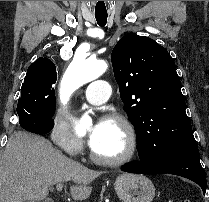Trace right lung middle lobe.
<instances>
[{
	"label": "right lung middle lobe",
	"instance_id": "obj_1",
	"mask_svg": "<svg viewBox=\"0 0 209 202\" xmlns=\"http://www.w3.org/2000/svg\"><path fill=\"white\" fill-rule=\"evenodd\" d=\"M55 82L56 75L37 74L24 78L17 105L19 119L30 117L52 120L55 111Z\"/></svg>",
	"mask_w": 209,
	"mask_h": 202
}]
</instances>
